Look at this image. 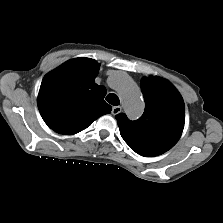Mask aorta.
I'll return each instance as SVG.
<instances>
[{"mask_svg": "<svg viewBox=\"0 0 223 223\" xmlns=\"http://www.w3.org/2000/svg\"><path fill=\"white\" fill-rule=\"evenodd\" d=\"M113 83L120 93L124 109L130 119H138L144 112V101L136 83L125 73L116 72Z\"/></svg>", "mask_w": 223, "mask_h": 223, "instance_id": "aorta-1", "label": "aorta"}]
</instances>
